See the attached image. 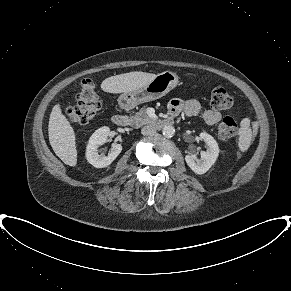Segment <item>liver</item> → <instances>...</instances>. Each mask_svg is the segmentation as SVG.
Listing matches in <instances>:
<instances>
[{"instance_id":"6515ba94","label":"liver","mask_w":291,"mask_h":291,"mask_svg":"<svg viewBox=\"0 0 291 291\" xmlns=\"http://www.w3.org/2000/svg\"><path fill=\"white\" fill-rule=\"evenodd\" d=\"M156 77V74L134 71L111 76L103 80L101 89L108 93H125L139 89ZM48 135L55 154L67 165L77 164L76 138L73 127L62 113L60 104H56L49 118Z\"/></svg>"}]
</instances>
